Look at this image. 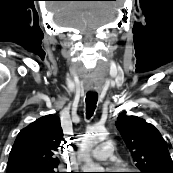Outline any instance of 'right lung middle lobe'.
Segmentation results:
<instances>
[{
    "label": "right lung middle lobe",
    "instance_id": "right-lung-middle-lobe-1",
    "mask_svg": "<svg viewBox=\"0 0 173 173\" xmlns=\"http://www.w3.org/2000/svg\"><path fill=\"white\" fill-rule=\"evenodd\" d=\"M28 173H56L54 169L40 170V171H29Z\"/></svg>",
    "mask_w": 173,
    "mask_h": 173
}]
</instances>
